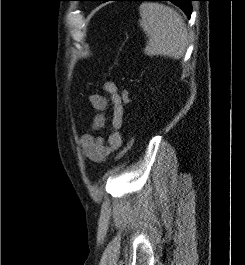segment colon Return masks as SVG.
I'll return each instance as SVG.
<instances>
[{
    "mask_svg": "<svg viewBox=\"0 0 245 265\" xmlns=\"http://www.w3.org/2000/svg\"><path fill=\"white\" fill-rule=\"evenodd\" d=\"M121 97H122V102H123V104H127V103L130 102V95H129V92H128L127 90H123V91L121 92ZM132 145H133V140H132V138H129V139L126 141V143H125L123 149H122L121 152L119 153L118 158H122V157H124V156H125L130 150H131Z\"/></svg>",
    "mask_w": 245,
    "mask_h": 265,
    "instance_id": "1",
    "label": "colon"
}]
</instances>
